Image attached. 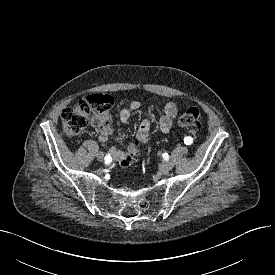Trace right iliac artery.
I'll return each instance as SVG.
<instances>
[{
  "label": "right iliac artery",
  "mask_w": 275,
  "mask_h": 275,
  "mask_svg": "<svg viewBox=\"0 0 275 275\" xmlns=\"http://www.w3.org/2000/svg\"><path fill=\"white\" fill-rule=\"evenodd\" d=\"M104 159H105V164H110L112 161V157L110 156V154H107Z\"/></svg>",
  "instance_id": "obj_1"
}]
</instances>
